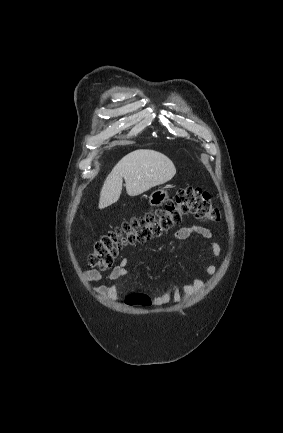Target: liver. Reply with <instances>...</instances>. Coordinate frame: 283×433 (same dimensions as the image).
<instances>
[{"label": "liver", "instance_id": "1", "mask_svg": "<svg viewBox=\"0 0 283 433\" xmlns=\"http://www.w3.org/2000/svg\"><path fill=\"white\" fill-rule=\"evenodd\" d=\"M175 172L172 160L162 152L149 148L133 150L123 156L105 178L100 192L99 208H105L119 200L123 178L127 194L137 196L156 184H164L173 178Z\"/></svg>", "mask_w": 283, "mask_h": 433}]
</instances>
